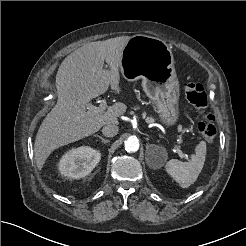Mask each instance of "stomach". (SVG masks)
I'll list each match as a JSON object with an SVG mask.
<instances>
[{"label": "stomach", "instance_id": "0dacf381", "mask_svg": "<svg viewBox=\"0 0 246 246\" xmlns=\"http://www.w3.org/2000/svg\"><path fill=\"white\" fill-rule=\"evenodd\" d=\"M120 70L128 81L142 79V88L161 121L172 126L179 116V81L170 46L147 35H134L126 43Z\"/></svg>", "mask_w": 246, "mask_h": 246}]
</instances>
